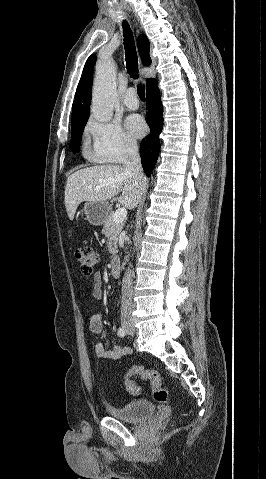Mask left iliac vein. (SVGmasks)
Listing matches in <instances>:
<instances>
[{
	"instance_id": "4c4485c4",
	"label": "left iliac vein",
	"mask_w": 266,
	"mask_h": 479,
	"mask_svg": "<svg viewBox=\"0 0 266 479\" xmlns=\"http://www.w3.org/2000/svg\"><path fill=\"white\" fill-rule=\"evenodd\" d=\"M134 332H135V328L133 327V325H131V327L128 328L127 333H128L129 335H131V334H133Z\"/></svg>"
}]
</instances>
